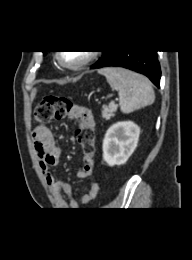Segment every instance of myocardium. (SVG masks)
Listing matches in <instances>:
<instances>
[{"instance_id": "1", "label": "myocardium", "mask_w": 192, "mask_h": 260, "mask_svg": "<svg viewBox=\"0 0 192 260\" xmlns=\"http://www.w3.org/2000/svg\"><path fill=\"white\" fill-rule=\"evenodd\" d=\"M96 54L93 51H88L87 55L78 63L75 64H69L67 63L64 58H63V52H59L58 53V61L60 62V64L70 70H79L82 69L83 67H85L86 65H88L91 61L94 60Z\"/></svg>"}]
</instances>
